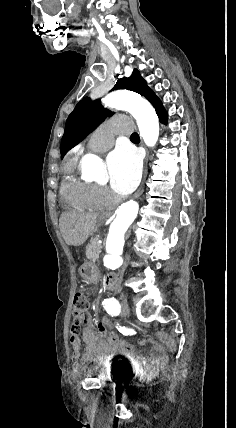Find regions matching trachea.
<instances>
[{
    "instance_id": "trachea-1",
    "label": "trachea",
    "mask_w": 236,
    "mask_h": 428,
    "mask_svg": "<svg viewBox=\"0 0 236 428\" xmlns=\"http://www.w3.org/2000/svg\"><path fill=\"white\" fill-rule=\"evenodd\" d=\"M130 138L131 139H139V135L136 132H134V133H132Z\"/></svg>"
}]
</instances>
